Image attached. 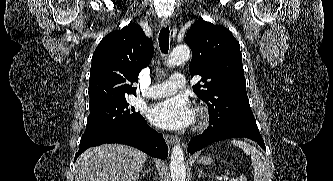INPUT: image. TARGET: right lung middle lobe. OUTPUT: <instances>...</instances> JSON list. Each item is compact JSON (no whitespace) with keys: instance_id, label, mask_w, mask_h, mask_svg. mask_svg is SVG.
I'll return each mask as SVG.
<instances>
[{"instance_id":"obj_1","label":"right lung middle lobe","mask_w":333,"mask_h":181,"mask_svg":"<svg viewBox=\"0 0 333 181\" xmlns=\"http://www.w3.org/2000/svg\"><path fill=\"white\" fill-rule=\"evenodd\" d=\"M89 109L90 114L83 136L126 127L142 117L133 107H129L126 99Z\"/></svg>"}]
</instances>
